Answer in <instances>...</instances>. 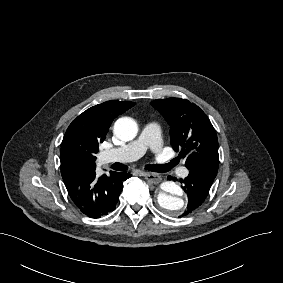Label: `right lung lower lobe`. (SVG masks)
Segmentation results:
<instances>
[{
	"label": "right lung lower lobe",
	"instance_id": "1",
	"mask_svg": "<svg viewBox=\"0 0 283 283\" xmlns=\"http://www.w3.org/2000/svg\"><path fill=\"white\" fill-rule=\"evenodd\" d=\"M130 176L126 172H110L97 178L95 167H90L72 171L62 178L75 206L90 218H100L115 209L123 181Z\"/></svg>",
	"mask_w": 283,
	"mask_h": 283
}]
</instances>
